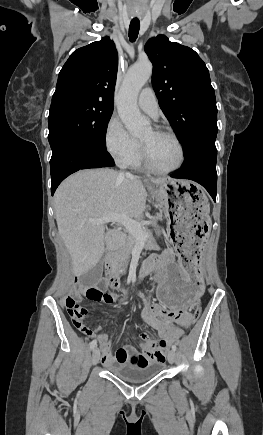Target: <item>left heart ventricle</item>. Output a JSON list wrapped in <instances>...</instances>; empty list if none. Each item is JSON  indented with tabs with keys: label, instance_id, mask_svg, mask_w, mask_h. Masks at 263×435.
<instances>
[{
	"label": "left heart ventricle",
	"instance_id": "left-heart-ventricle-1",
	"mask_svg": "<svg viewBox=\"0 0 263 435\" xmlns=\"http://www.w3.org/2000/svg\"><path fill=\"white\" fill-rule=\"evenodd\" d=\"M148 151L151 162L159 169H169L176 166L180 159V152L176 143L167 136L158 135L149 130L141 138Z\"/></svg>",
	"mask_w": 263,
	"mask_h": 435
}]
</instances>
